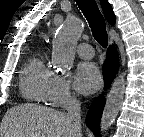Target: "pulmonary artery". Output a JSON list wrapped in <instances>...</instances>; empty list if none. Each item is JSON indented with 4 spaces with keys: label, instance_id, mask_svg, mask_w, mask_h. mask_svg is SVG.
I'll return each mask as SVG.
<instances>
[{
    "label": "pulmonary artery",
    "instance_id": "pulmonary-artery-1",
    "mask_svg": "<svg viewBox=\"0 0 144 137\" xmlns=\"http://www.w3.org/2000/svg\"><path fill=\"white\" fill-rule=\"evenodd\" d=\"M77 53L83 59H91L94 56L93 47L87 43H81L77 46Z\"/></svg>",
    "mask_w": 144,
    "mask_h": 137
}]
</instances>
